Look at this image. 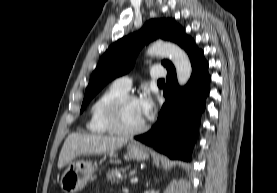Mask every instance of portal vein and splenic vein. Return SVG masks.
I'll return each instance as SVG.
<instances>
[{"mask_svg":"<svg viewBox=\"0 0 277 193\" xmlns=\"http://www.w3.org/2000/svg\"><path fill=\"white\" fill-rule=\"evenodd\" d=\"M131 183H137L138 182V178L137 177H133L131 178Z\"/></svg>","mask_w":277,"mask_h":193,"instance_id":"18ae733b","label":"portal vein and splenic vein"}]
</instances>
